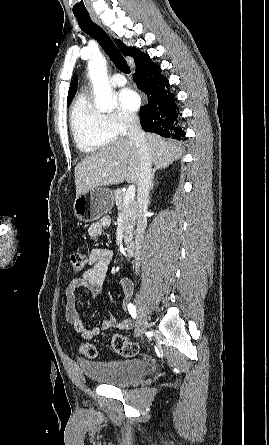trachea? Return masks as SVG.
<instances>
[{"instance_id": "obj_1", "label": "trachea", "mask_w": 269, "mask_h": 445, "mask_svg": "<svg viewBox=\"0 0 269 445\" xmlns=\"http://www.w3.org/2000/svg\"><path fill=\"white\" fill-rule=\"evenodd\" d=\"M75 17L80 28L89 36L97 40L115 66L123 73L129 74L130 68L127 62L105 31L95 24L90 19L89 15H75Z\"/></svg>"}]
</instances>
